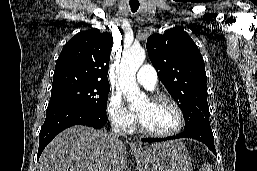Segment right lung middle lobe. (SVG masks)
Instances as JSON below:
<instances>
[{
	"label": "right lung middle lobe",
	"instance_id": "right-lung-middle-lobe-1",
	"mask_svg": "<svg viewBox=\"0 0 257 171\" xmlns=\"http://www.w3.org/2000/svg\"><path fill=\"white\" fill-rule=\"evenodd\" d=\"M109 83H76L52 89L48 106L80 104L106 115Z\"/></svg>",
	"mask_w": 257,
	"mask_h": 171
}]
</instances>
